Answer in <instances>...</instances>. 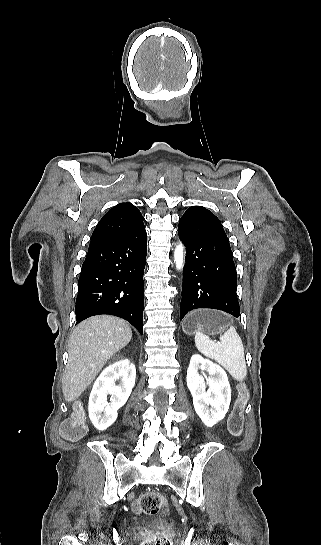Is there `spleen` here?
I'll list each match as a JSON object with an SVG mask.
<instances>
[{
    "label": "spleen",
    "mask_w": 321,
    "mask_h": 545,
    "mask_svg": "<svg viewBox=\"0 0 321 545\" xmlns=\"http://www.w3.org/2000/svg\"><path fill=\"white\" fill-rule=\"evenodd\" d=\"M219 339V343H216L206 339L201 331L195 333V345L202 355L217 361L235 381H244L247 369L241 337L234 327H229Z\"/></svg>",
    "instance_id": "spleen-1"
}]
</instances>
